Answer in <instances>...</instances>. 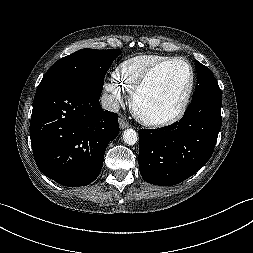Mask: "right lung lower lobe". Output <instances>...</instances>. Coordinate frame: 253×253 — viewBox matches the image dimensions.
<instances>
[{
    "label": "right lung lower lobe",
    "mask_w": 253,
    "mask_h": 253,
    "mask_svg": "<svg viewBox=\"0 0 253 253\" xmlns=\"http://www.w3.org/2000/svg\"><path fill=\"white\" fill-rule=\"evenodd\" d=\"M101 92L73 82L37 88L30 121L34 159L45 176L63 186L94 181L108 143L119 134L118 115L102 110Z\"/></svg>",
    "instance_id": "98d812e1"
}]
</instances>
